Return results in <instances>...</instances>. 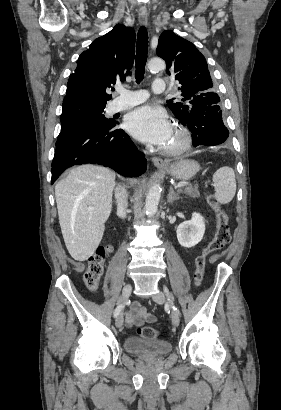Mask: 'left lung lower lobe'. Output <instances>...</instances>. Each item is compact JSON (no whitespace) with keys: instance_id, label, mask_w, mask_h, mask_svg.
I'll return each mask as SVG.
<instances>
[{"instance_id":"0a47b994","label":"left lung lower lobe","mask_w":281,"mask_h":410,"mask_svg":"<svg viewBox=\"0 0 281 410\" xmlns=\"http://www.w3.org/2000/svg\"><path fill=\"white\" fill-rule=\"evenodd\" d=\"M183 125L192 132L193 146H213L223 143L229 136L222 120V110L216 105H194Z\"/></svg>"}]
</instances>
